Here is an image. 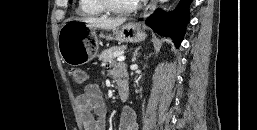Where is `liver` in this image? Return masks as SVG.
<instances>
[{
  "label": "liver",
  "instance_id": "obj_1",
  "mask_svg": "<svg viewBox=\"0 0 257 130\" xmlns=\"http://www.w3.org/2000/svg\"><path fill=\"white\" fill-rule=\"evenodd\" d=\"M88 24L91 28H100L103 30H114L123 24L126 21V18H107V17H100V18H81L77 19Z\"/></svg>",
  "mask_w": 257,
  "mask_h": 130
}]
</instances>
